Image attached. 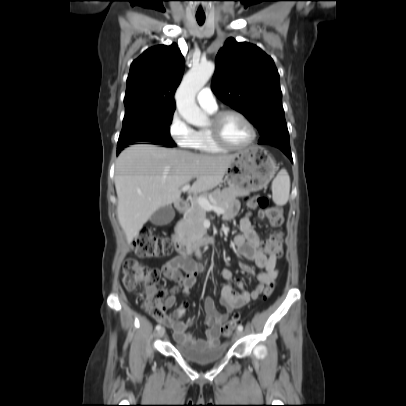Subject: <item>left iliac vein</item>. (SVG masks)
Listing matches in <instances>:
<instances>
[{"instance_id":"1","label":"left iliac vein","mask_w":406,"mask_h":406,"mask_svg":"<svg viewBox=\"0 0 406 406\" xmlns=\"http://www.w3.org/2000/svg\"><path fill=\"white\" fill-rule=\"evenodd\" d=\"M242 336H243V332L241 330L236 331V333H235L236 338H240Z\"/></svg>"}]
</instances>
